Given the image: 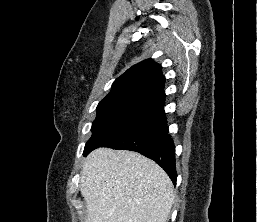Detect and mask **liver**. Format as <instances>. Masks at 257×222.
Returning <instances> with one entry per match:
<instances>
[{
	"mask_svg": "<svg viewBox=\"0 0 257 222\" xmlns=\"http://www.w3.org/2000/svg\"><path fill=\"white\" fill-rule=\"evenodd\" d=\"M80 191L85 222H166L173 184L151 159L132 151L98 148L86 158Z\"/></svg>",
	"mask_w": 257,
	"mask_h": 222,
	"instance_id": "obj_1",
	"label": "liver"
}]
</instances>
